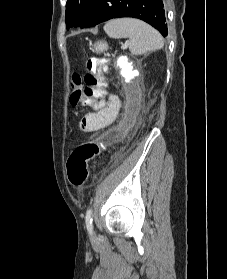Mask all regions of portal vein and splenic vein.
<instances>
[{
  "label": "portal vein and splenic vein",
  "mask_w": 227,
  "mask_h": 279,
  "mask_svg": "<svg viewBox=\"0 0 227 279\" xmlns=\"http://www.w3.org/2000/svg\"><path fill=\"white\" fill-rule=\"evenodd\" d=\"M127 47H128V42H126L124 45H123V49H127Z\"/></svg>",
  "instance_id": "portal-vein-and-splenic-vein-1"
}]
</instances>
